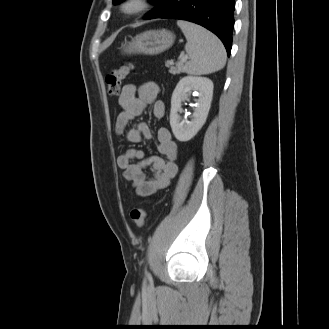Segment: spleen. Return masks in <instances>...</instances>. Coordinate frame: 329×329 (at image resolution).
<instances>
[{"instance_id":"obj_1","label":"spleen","mask_w":329,"mask_h":329,"mask_svg":"<svg viewBox=\"0 0 329 329\" xmlns=\"http://www.w3.org/2000/svg\"><path fill=\"white\" fill-rule=\"evenodd\" d=\"M187 43L185 50L189 61L185 71L191 75L210 74L221 70L226 63V51L222 42L210 31L188 21H177Z\"/></svg>"}]
</instances>
